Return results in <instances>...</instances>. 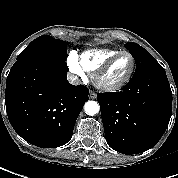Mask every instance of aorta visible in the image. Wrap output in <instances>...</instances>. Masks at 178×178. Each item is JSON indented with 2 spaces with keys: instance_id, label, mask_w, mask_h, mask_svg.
Masks as SVG:
<instances>
[{
  "instance_id": "obj_1",
  "label": "aorta",
  "mask_w": 178,
  "mask_h": 178,
  "mask_svg": "<svg viewBox=\"0 0 178 178\" xmlns=\"http://www.w3.org/2000/svg\"><path fill=\"white\" fill-rule=\"evenodd\" d=\"M84 110L87 115L93 116L99 112V104L96 101H87Z\"/></svg>"
}]
</instances>
